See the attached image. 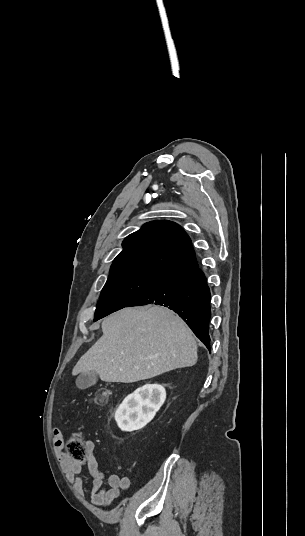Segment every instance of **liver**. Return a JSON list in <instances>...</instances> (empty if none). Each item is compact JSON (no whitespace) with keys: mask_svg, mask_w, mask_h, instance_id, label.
<instances>
[{"mask_svg":"<svg viewBox=\"0 0 305 536\" xmlns=\"http://www.w3.org/2000/svg\"><path fill=\"white\" fill-rule=\"evenodd\" d=\"M102 332L72 376L96 372L103 382L131 384L197 362L190 328L163 306L119 310L104 318Z\"/></svg>","mask_w":305,"mask_h":536,"instance_id":"6515ba94","label":"liver"}]
</instances>
